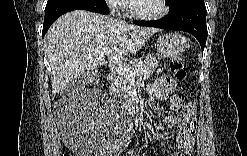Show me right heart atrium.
Masks as SVG:
<instances>
[{"instance_id": "d8ad5b80", "label": "right heart atrium", "mask_w": 247, "mask_h": 156, "mask_svg": "<svg viewBox=\"0 0 247 156\" xmlns=\"http://www.w3.org/2000/svg\"><path fill=\"white\" fill-rule=\"evenodd\" d=\"M108 5L115 11H122L126 5L124 0H110Z\"/></svg>"}]
</instances>
